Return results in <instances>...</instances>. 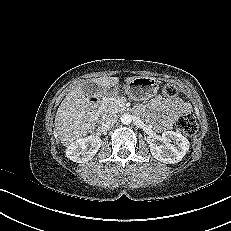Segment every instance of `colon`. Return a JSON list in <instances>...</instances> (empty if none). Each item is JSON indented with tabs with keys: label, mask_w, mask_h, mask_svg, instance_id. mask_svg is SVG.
I'll return each instance as SVG.
<instances>
[{
	"label": "colon",
	"mask_w": 231,
	"mask_h": 231,
	"mask_svg": "<svg viewBox=\"0 0 231 231\" xmlns=\"http://www.w3.org/2000/svg\"><path fill=\"white\" fill-rule=\"evenodd\" d=\"M163 93L167 97H175L178 94V89L173 84H167L163 88ZM176 126L179 128V130L188 136L194 135L198 130L196 118L191 112L180 115L177 118Z\"/></svg>",
	"instance_id": "5ec220e1"
}]
</instances>
